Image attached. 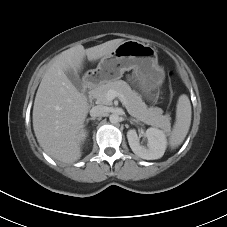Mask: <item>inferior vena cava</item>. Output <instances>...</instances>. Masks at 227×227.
<instances>
[{"mask_svg": "<svg viewBox=\"0 0 227 227\" xmlns=\"http://www.w3.org/2000/svg\"><path fill=\"white\" fill-rule=\"evenodd\" d=\"M106 112V107L102 106V105H97L92 107V109L90 110V115L92 118H96V117H101L105 114Z\"/></svg>", "mask_w": 227, "mask_h": 227, "instance_id": "602c4592", "label": "inferior vena cava"}]
</instances>
